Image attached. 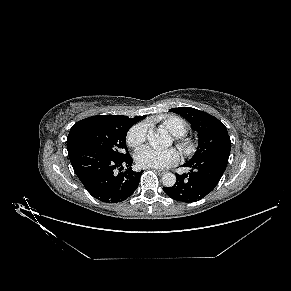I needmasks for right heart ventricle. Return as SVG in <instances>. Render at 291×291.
<instances>
[{"label": "right heart ventricle", "mask_w": 291, "mask_h": 291, "mask_svg": "<svg viewBox=\"0 0 291 291\" xmlns=\"http://www.w3.org/2000/svg\"><path fill=\"white\" fill-rule=\"evenodd\" d=\"M161 124L164 128L170 131L175 136L184 135L188 129V122L176 115H168L160 118Z\"/></svg>", "instance_id": "obj_1"}]
</instances>
